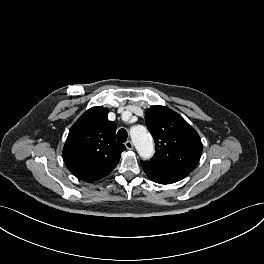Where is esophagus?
I'll return each mask as SVG.
<instances>
[{
    "mask_svg": "<svg viewBox=\"0 0 264 264\" xmlns=\"http://www.w3.org/2000/svg\"><path fill=\"white\" fill-rule=\"evenodd\" d=\"M125 146L128 150H132L133 149V142L131 140H128L126 143H125Z\"/></svg>",
    "mask_w": 264,
    "mask_h": 264,
    "instance_id": "1",
    "label": "esophagus"
}]
</instances>
